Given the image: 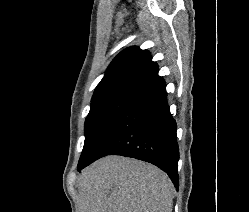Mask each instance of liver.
I'll return each instance as SVG.
<instances>
[{"label":"liver","mask_w":249,"mask_h":212,"mask_svg":"<svg viewBox=\"0 0 249 212\" xmlns=\"http://www.w3.org/2000/svg\"><path fill=\"white\" fill-rule=\"evenodd\" d=\"M79 212H172L165 172L133 158L106 156L78 178Z\"/></svg>","instance_id":"6515ba94"}]
</instances>
